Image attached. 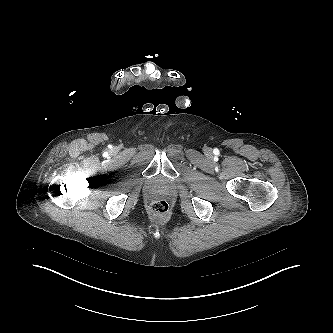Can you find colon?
Instances as JSON below:
<instances>
[{
	"label": "colon",
	"mask_w": 333,
	"mask_h": 333,
	"mask_svg": "<svg viewBox=\"0 0 333 333\" xmlns=\"http://www.w3.org/2000/svg\"><path fill=\"white\" fill-rule=\"evenodd\" d=\"M150 210L158 216H165L169 213L170 206L167 201L163 199L155 200L150 205Z\"/></svg>",
	"instance_id": "colon-1"
}]
</instances>
